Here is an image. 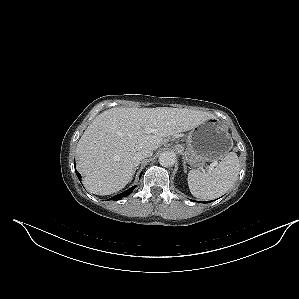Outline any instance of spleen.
Instances as JSON below:
<instances>
[{
    "label": "spleen",
    "instance_id": "obj_1",
    "mask_svg": "<svg viewBox=\"0 0 299 299\" xmlns=\"http://www.w3.org/2000/svg\"><path fill=\"white\" fill-rule=\"evenodd\" d=\"M238 174V156L235 152H230L211 171H189L188 186L191 194L197 198L215 199L225 194L234 185Z\"/></svg>",
    "mask_w": 299,
    "mask_h": 299
}]
</instances>
